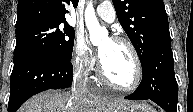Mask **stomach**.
Listing matches in <instances>:
<instances>
[{"mask_svg":"<svg viewBox=\"0 0 193 112\" xmlns=\"http://www.w3.org/2000/svg\"><path fill=\"white\" fill-rule=\"evenodd\" d=\"M111 112H155V110L145 103L131 102L122 107H116Z\"/></svg>","mask_w":193,"mask_h":112,"instance_id":"obj_1","label":"stomach"}]
</instances>
